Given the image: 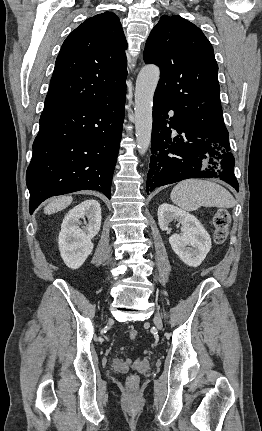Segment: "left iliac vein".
I'll return each mask as SVG.
<instances>
[{
	"instance_id": "obj_1",
	"label": "left iliac vein",
	"mask_w": 262,
	"mask_h": 431,
	"mask_svg": "<svg viewBox=\"0 0 262 431\" xmlns=\"http://www.w3.org/2000/svg\"><path fill=\"white\" fill-rule=\"evenodd\" d=\"M154 324L160 330L163 328L162 319L159 313H157L154 317Z\"/></svg>"
}]
</instances>
